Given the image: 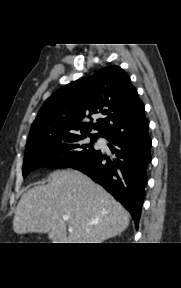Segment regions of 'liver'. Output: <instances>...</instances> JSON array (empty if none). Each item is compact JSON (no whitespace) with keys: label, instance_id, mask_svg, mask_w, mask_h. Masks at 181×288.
<instances>
[{"label":"liver","instance_id":"liver-1","mask_svg":"<svg viewBox=\"0 0 181 288\" xmlns=\"http://www.w3.org/2000/svg\"><path fill=\"white\" fill-rule=\"evenodd\" d=\"M50 178L22 195L13 219L17 234L47 233L55 243H102L128 227L124 207L80 171L57 170Z\"/></svg>","mask_w":181,"mask_h":288}]
</instances>
